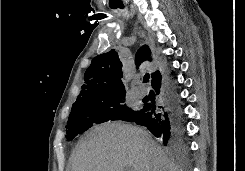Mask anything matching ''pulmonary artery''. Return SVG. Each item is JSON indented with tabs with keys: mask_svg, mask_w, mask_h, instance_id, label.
<instances>
[{
	"mask_svg": "<svg viewBox=\"0 0 245 171\" xmlns=\"http://www.w3.org/2000/svg\"><path fill=\"white\" fill-rule=\"evenodd\" d=\"M134 93L138 97H143L147 94V89L144 86H137L134 88Z\"/></svg>",
	"mask_w": 245,
	"mask_h": 171,
	"instance_id": "obj_1",
	"label": "pulmonary artery"
}]
</instances>
